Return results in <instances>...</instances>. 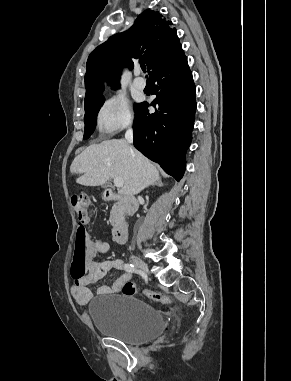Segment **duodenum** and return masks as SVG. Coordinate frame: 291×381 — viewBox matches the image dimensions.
<instances>
[{
    "label": "duodenum",
    "instance_id": "410a0bca",
    "mask_svg": "<svg viewBox=\"0 0 291 381\" xmlns=\"http://www.w3.org/2000/svg\"><path fill=\"white\" fill-rule=\"evenodd\" d=\"M105 196L109 201H117L119 203V211L133 212L138 204L136 199L129 196H121L111 190L105 191ZM128 236L127 222L119 219L113 227V237L117 243H125Z\"/></svg>",
    "mask_w": 291,
    "mask_h": 381
}]
</instances>
